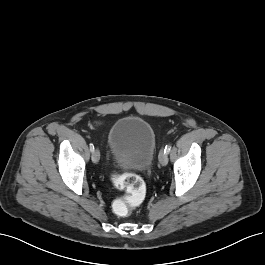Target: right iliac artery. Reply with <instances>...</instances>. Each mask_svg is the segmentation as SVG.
I'll return each instance as SVG.
<instances>
[{"label": "right iliac artery", "instance_id": "obj_1", "mask_svg": "<svg viewBox=\"0 0 265 265\" xmlns=\"http://www.w3.org/2000/svg\"><path fill=\"white\" fill-rule=\"evenodd\" d=\"M90 151L93 152L94 151V145L90 144Z\"/></svg>", "mask_w": 265, "mask_h": 265}]
</instances>
